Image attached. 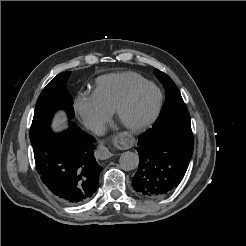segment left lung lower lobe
Returning <instances> with one entry per match:
<instances>
[{
    "mask_svg": "<svg viewBox=\"0 0 246 246\" xmlns=\"http://www.w3.org/2000/svg\"><path fill=\"white\" fill-rule=\"evenodd\" d=\"M140 162L132 178L134 189L147 198H160L176 188L189 165L193 148L191 125H164L139 136Z\"/></svg>",
    "mask_w": 246,
    "mask_h": 246,
    "instance_id": "1",
    "label": "left lung lower lobe"
}]
</instances>
